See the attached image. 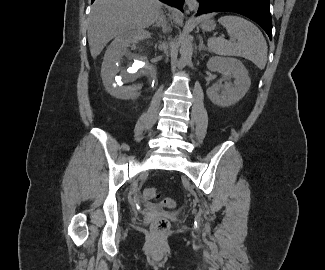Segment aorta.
<instances>
[{"mask_svg":"<svg viewBox=\"0 0 325 270\" xmlns=\"http://www.w3.org/2000/svg\"><path fill=\"white\" fill-rule=\"evenodd\" d=\"M192 53H193L192 42L189 38H185L181 43V47H180L181 56L177 65L180 70L183 69L191 61Z\"/></svg>","mask_w":325,"mask_h":270,"instance_id":"762f6f07","label":"aorta"}]
</instances>
